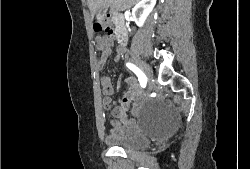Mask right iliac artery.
I'll return each mask as SVG.
<instances>
[{
	"mask_svg": "<svg viewBox=\"0 0 250 169\" xmlns=\"http://www.w3.org/2000/svg\"><path fill=\"white\" fill-rule=\"evenodd\" d=\"M126 66L137 75L141 87L145 88L147 84V77L145 74L134 64L126 63Z\"/></svg>",
	"mask_w": 250,
	"mask_h": 169,
	"instance_id": "obj_1",
	"label": "right iliac artery"
}]
</instances>
